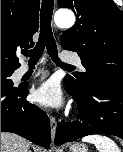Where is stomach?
I'll list each match as a JSON object with an SVG mask.
<instances>
[{
  "label": "stomach",
  "mask_w": 123,
  "mask_h": 152,
  "mask_svg": "<svg viewBox=\"0 0 123 152\" xmlns=\"http://www.w3.org/2000/svg\"><path fill=\"white\" fill-rule=\"evenodd\" d=\"M69 152H88V149L84 144L74 143L70 146Z\"/></svg>",
  "instance_id": "0dacf381"
}]
</instances>
